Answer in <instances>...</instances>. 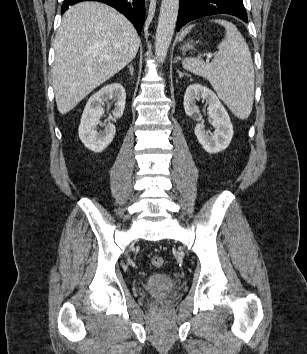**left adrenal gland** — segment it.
<instances>
[{"label": "left adrenal gland", "instance_id": "1", "mask_svg": "<svg viewBox=\"0 0 307 354\" xmlns=\"http://www.w3.org/2000/svg\"><path fill=\"white\" fill-rule=\"evenodd\" d=\"M177 73L179 74V78H182L183 76H189L186 73H182L180 70H177Z\"/></svg>", "mask_w": 307, "mask_h": 354}]
</instances>
